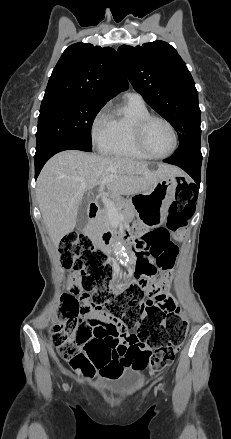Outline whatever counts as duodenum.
<instances>
[{
    "label": "duodenum",
    "mask_w": 231,
    "mask_h": 439,
    "mask_svg": "<svg viewBox=\"0 0 231 439\" xmlns=\"http://www.w3.org/2000/svg\"><path fill=\"white\" fill-rule=\"evenodd\" d=\"M97 210H98V205L95 202H91L89 205V215H90V219L92 221H94L96 219L97 216ZM115 236L114 232L111 231H105L102 234V244L103 246H108L111 242V240L113 239V237Z\"/></svg>",
    "instance_id": "duodenum-1"
}]
</instances>
